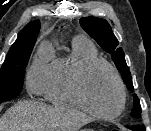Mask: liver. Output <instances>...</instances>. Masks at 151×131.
<instances>
[{
  "label": "liver",
  "mask_w": 151,
  "mask_h": 131,
  "mask_svg": "<svg viewBox=\"0 0 151 131\" xmlns=\"http://www.w3.org/2000/svg\"><path fill=\"white\" fill-rule=\"evenodd\" d=\"M92 118L69 107L18 102L0 118V131H78Z\"/></svg>",
  "instance_id": "obj_1"
}]
</instances>
